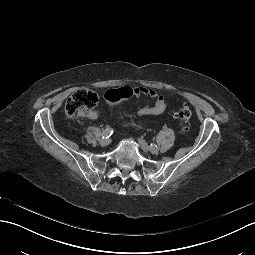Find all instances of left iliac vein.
Listing matches in <instances>:
<instances>
[{"instance_id":"obj_1","label":"left iliac vein","mask_w":255,"mask_h":255,"mask_svg":"<svg viewBox=\"0 0 255 255\" xmlns=\"http://www.w3.org/2000/svg\"><path fill=\"white\" fill-rule=\"evenodd\" d=\"M138 142H139V145H140V147L142 148V150L144 152L150 151L153 154H158V152H159V148L158 147H154V148L150 149L148 144L146 143V141L144 139H142V138H139Z\"/></svg>"}]
</instances>
